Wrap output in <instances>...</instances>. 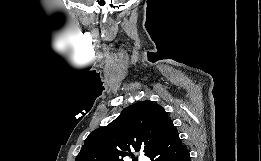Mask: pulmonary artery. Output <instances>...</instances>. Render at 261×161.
<instances>
[{"label":"pulmonary artery","instance_id":"pulmonary-artery-1","mask_svg":"<svg viewBox=\"0 0 261 161\" xmlns=\"http://www.w3.org/2000/svg\"><path fill=\"white\" fill-rule=\"evenodd\" d=\"M138 161H150V160H149V158L146 157V156H140V157L138 158Z\"/></svg>","mask_w":261,"mask_h":161}]
</instances>
